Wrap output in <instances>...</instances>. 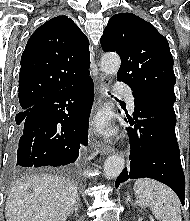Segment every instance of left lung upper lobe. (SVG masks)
<instances>
[{
  "label": "left lung upper lobe",
  "instance_id": "1",
  "mask_svg": "<svg viewBox=\"0 0 190 221\" xmlns=\"http://www.w3.org/2000/svg\"><path fill=\"white\" fill-rule=\"evenodd\" d=\"M104 51L121 58L117 80L134 95L176 101L173 57L165 37L153 25L132 13L112 16L100 39Z\"/></svg>",
  "mask_w": 190,
  "mask_h": 221
}]
</instances>
